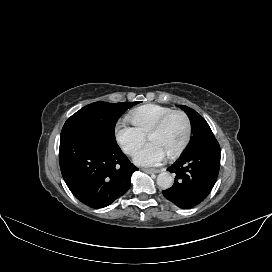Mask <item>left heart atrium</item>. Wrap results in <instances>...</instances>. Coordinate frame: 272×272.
<instances>
[{
	"mask_svg": "<svg viewBox=\"0 0 272 272\" xmlns=\"http://www.w3.org/2000/svg\"><path fill=\"white\" fill-rule=\"evenodd\" d=\"M165 156L164 151L155 142L150 141L136 153L134 161L141 166H156Z\"/></svg>",
	"mask_w": 272,
	"mask_h": 272,
	"instance_id": "1",
	"label": "left heart atrium"
}]
</instances>
